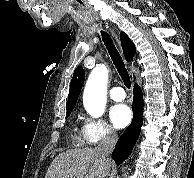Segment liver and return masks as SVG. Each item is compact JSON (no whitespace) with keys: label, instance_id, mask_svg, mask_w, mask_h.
Instances as JSON below:
<instances>
[{"label":"liver","instance_id":"1","mask_svg":"<svg viewBox=\"0 0 194 178\" xmlns=\"http://www.w3.org/2000/svg\"><path fill=\"white\" fill-rule=\"evenodd\" d=\"M110 167L96 149H71L55 157L45 178H104Z\"/></svg>","mask_w":194,"mask_h":178}]
</instances>
